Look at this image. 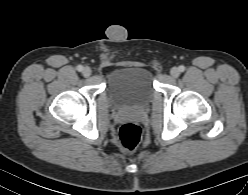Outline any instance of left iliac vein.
Listing matches in <instances>:
<instances>
[{"instance_id": "left-iliac-vein-1", "label": "left iliac vein", "mask_w": 248, "mask_h": 195, "mask_svg": "<svg viewBox=\"0 0 248 195\" xmlns=\"http://www.w3.org/2000/svg\"><path fill=\"white\" fill-rule=\"evenodd\" d=\"M170 74H171L172 77L177 78V77L180 75V70H179V68L173 67V68L170 70Z\"/></svg>"}]
</instances>
